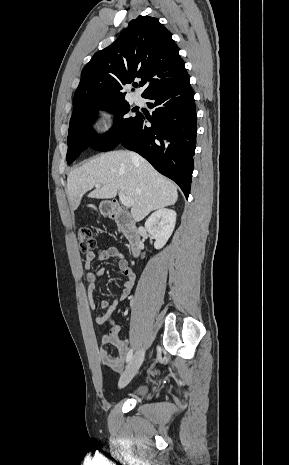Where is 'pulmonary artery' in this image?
Wrapping results in <instances>:
<instances>
[{
	"label": "pulmonary artery",
	"mask_w": 289,
	"mask_h": 465,
	"mask_svg": "<svg viewBox=\"0 0 289 465\" xmlns=\"http://www.w3.org/2000/svg\"><path fill=\"white\" fill-rule=\"evenodd\" d=\"M133 100H134L135 103H140L142 99L138 94H135L133 96Z\"/></svg>",
	"instance_id": "pulmonary-artery-1"
}]
</instances>
